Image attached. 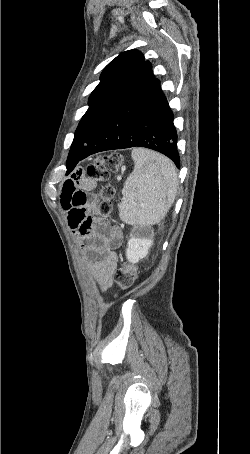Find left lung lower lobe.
Returning a JSON list of instances; mask_svg holds the SVG:
<instances>
[{
  "mask_svg": "<svg viewBox=\"0 0 250 454\" xmlns=\"http://www.w3.org/2000/svg\"><path fill=\"white\" fill-rule=\"evenodd\" d=\"M135 146L156 150L180 168L173 113L155 78L101 125L81 155L68 156L67 174L94 153Z\"/></svg>",
  "mask_w": 250,
  "mask_h": 454,
  "instance_id": "0a47b994",
  "label": "left lung lower lobe"
}]
</instances>
